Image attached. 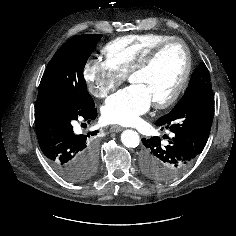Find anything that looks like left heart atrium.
Here are the masks:
<instances>
[{"label":"left heart atrium","mask_w":236,"mask_h":236,"mask_svg":"<svg viewBox=\"0 0 236 236\" xmlns=\"http://www.w3.org/2000/svg\"><path fill=\"white\" fill-rule=\"evenodd\" d=\"M151 103L147 90L141 85L132 84L107 99L102 108V118L110 124L133 125L150 108Z\"/></svg>","instance_id":"39dd6f15"}]
</instances>
